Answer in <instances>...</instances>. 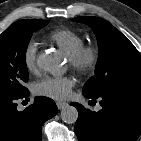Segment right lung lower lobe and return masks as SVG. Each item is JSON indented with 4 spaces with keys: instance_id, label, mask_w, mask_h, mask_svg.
Segmentation results:
<instances>
[{
    "instance_id": "obj_1",
    "label": "right lung lower lobe",
    "mask_w": 141,
    "mask_h": 141,
    "mask_svg": "<svg viewBox=\"0 0 141 141\" xmlns=\"http://www.w3.org/2000/svg\"><path fill=\"white\" fill-rule=\"evenodd\" d=\"M28 96L29 91L19 96L0 97V141H41L43 123L58 110L52 99L39 96L19 112L16 101Z\"/></svg>"
}]
</instances>
